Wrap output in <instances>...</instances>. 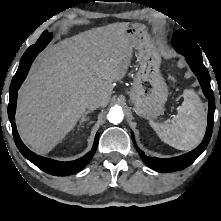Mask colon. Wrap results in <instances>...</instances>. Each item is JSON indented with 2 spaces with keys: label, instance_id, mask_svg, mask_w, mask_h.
<instances>
[{
  "label": "colon",
  "instance_id": "obj_1",
  "mask_svg": "<svg viewBox=\"0 0 221 221\" xmlns=\"http://www.w3.org/2000/svg\"><path fill=\"white\" fill-rule=\"evenodd\" d=\"M172 78H173V80H175L176 79V75L174 74Z\"/></svg>",
  "mask_w": 221,
  "mask_h": 221
}]
</instances>
